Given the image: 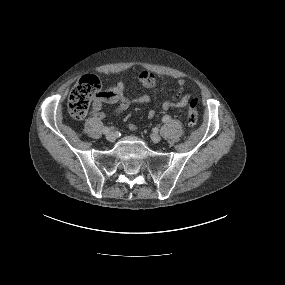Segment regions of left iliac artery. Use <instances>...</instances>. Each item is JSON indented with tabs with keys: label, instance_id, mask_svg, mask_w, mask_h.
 <instances>
[{
	"label": "left iliac artery",
	"instance_id": "1",
	"mask_svg": "<svg viewBox=\"0 0 285 285\" xmlns=\"http://www.w3.org/2000/svg\"><path fill=\"white\" fill-rule=\"evenodd\" d=\"M170 120V116L169 115H165V116H163V118H162V121L163 122H168Z\"/></svg>",
	"mask_w": 285,
	"mask_h": 285
}]
</instances>
